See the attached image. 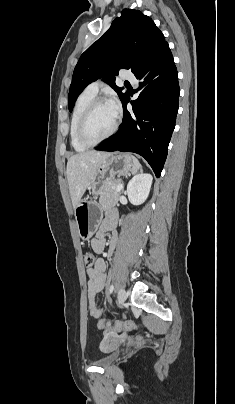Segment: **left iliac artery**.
Masks as SVG:
<instances>
[{"label":"left iliac artery","instance_id":"obj_1","mask_svg":"<svg viewBox=\"0 0 235 404\" xmlns=\"http://www.w3.org/2000/svg\"><path fill=\"white\" fill-rule=\"evenodd\" d=\"M113 290H114V285L111 284L110 287H109V293L111 294L113 292Z\"/></svg>","mask_w":235,"mask_h":404}]
</instances>
